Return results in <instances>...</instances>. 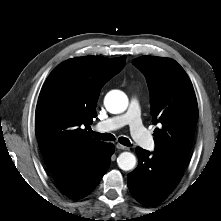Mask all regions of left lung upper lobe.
I'll return each mask as SVG.
<instances>
[{
	"instance_id": "1",
	"label": "left lung upper lobe",
	"mask_w": 221,
	"mask_h": 221,
	"mask_svg": "<svg viewBox=\"0 0 221 221\" xmlns=\"http://www.w3.org/2000/svg\"><path fill=\"white\" fill-rule=\"evenodd\" d=\"M133 64L146 76L155 129V152L185 164L193 144L198 105L192 83L173 59L142 56Z\"/></svg>"
}]
</instances>
